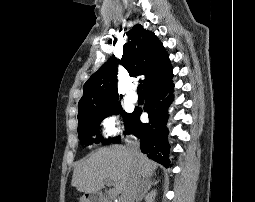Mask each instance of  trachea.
Wrapping results in <instances>:
<instances>
[{"mask_svg":"<svg viewBox=\"0 0 255 202\" xmlns=\"http://www.w3.org/2000/svg\"><path fill=\"white\" fill-rule=\"evenodd\" d=\"M142 88H143L142 84H140V85L137 87V93H138L139 95H143V90H142Z\"/></svg>","mask_w":255,"mask_h":202,"instance_id":"obj_1","label":"trachea"}]
</instances>
